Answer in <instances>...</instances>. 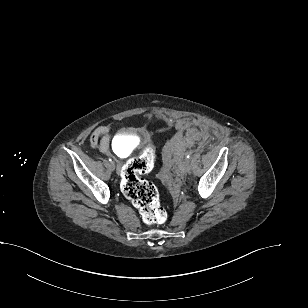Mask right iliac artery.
I'll use <instances>...</instances> for the list:
<instances>
[{
	"label": "right iliac artery",
	"mask_w": 308,
	"mask_h": 308,
	"mask_svg": "<svg viewBox=\"0 0 308 308\" xmlns=\"http://www.w3.org/2000/svg\"><path fill=\"white\" fill-rule=\"evenodd\" d=\"M109 161L111 162V161H112V159H111V158H109Z\"/></svg>",
	"instance_id": "right-iliac-artery-1"
}]
</instances>
